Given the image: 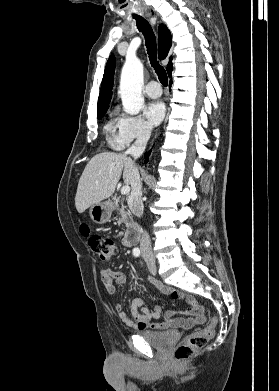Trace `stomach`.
Returning a JSON list of instances; mask_svg holds the SVG:
<instances>
[{
    "mask_svg": "<svg viewBox=\"0 0 279 391\" xmlns=\"http://www.w3.org/2000/svg\"><path fill=\"white\" fill-rule=\"evenodd\" d=\"M89 213L95 223L103 224L110 219L112 208L109 203H98L91 206Z\"/></svg>",
    "mask_w": 279,
    "mask_h": 391,
    "instance_id": "1",
    "label": "stomach"
}]
</instances>
